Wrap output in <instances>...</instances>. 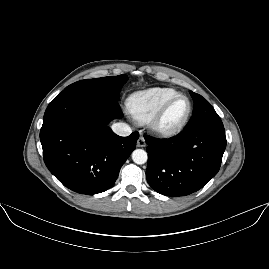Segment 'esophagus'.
I'll return each mask as SVG.
<instances>
[{
	"label": "esophagus",
	"mask_w": 269,
	"mask_h": 269,
	"mask_svg": "<svg viewBox=\"0 0 269 269\" xmlns=\"http://www.w3.org/2000/svg\"><path fill=\"white\" fill-rule=\"evenodd\" d=\"M145 146H146L145 139L143 137H139V139L137 140V147H145Z\"/></svg>",
	"instance_id": "esophagus-1"
}]
</instances>
